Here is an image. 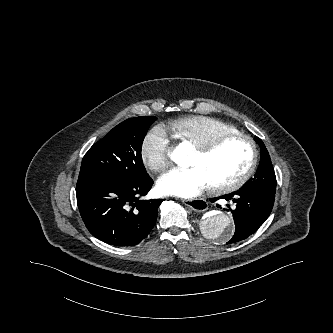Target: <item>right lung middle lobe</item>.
Instances as JSON below:
<instances>
[{
  "label": "right lung middle lobe",
  "instance_id": "right-lung-middle-lobe-1",
  "mask_svg": "<svg viewBox=\"0 0 333 333\" xmlns=\"http://www.w3.org/2000/svg\"><path fill=\"white\" fill-rule=\"evenodd\" d=\"M156 119L130 118L114 127L85 154L78 181L102 178L140 181L146 177L141 148L148 128Z\"/></svg>",
  "mask_w": 333,
  "mask_h": 333
}]
</instances>
